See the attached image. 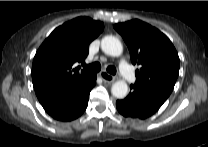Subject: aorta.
Masks as SVG:
<instances>
[{"mask_svg": "<svg viewBox=\"0 0 208 147\" xmlns=\"http://www.w3.org/2000/svg\"><path fill=\"white\" fill-rule=\"evenodd\" d=\"M102 51L112 57H119L123 52L120 40L114 36H105L101 40ZM111 92L114 97L123 99L128 94V85L124 80H119L112 85Z\"/></svg>", "mask_w": 208, "mask_h": 147, "instance_id": "1", "label": "aorta"}]
</instances>
